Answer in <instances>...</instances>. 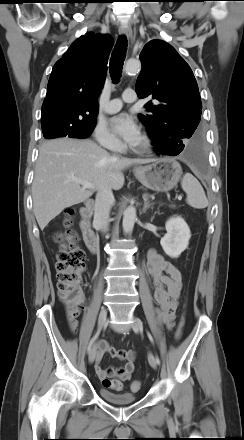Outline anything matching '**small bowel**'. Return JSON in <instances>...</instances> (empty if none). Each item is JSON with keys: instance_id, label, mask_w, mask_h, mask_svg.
Masks as SVG:
<instances>
[{"instance_id": "1", "label": "small bowel", "mask_w": 244, "mask_h": 440, "mask_svg": "<svg viewBox=\"0 0 244 440\" xmlns=\"http://www.w3.org/2000/svg\"><path fill=\"white\" fill-rule=\"evenodd\" d=\"M147 270L152 278V287L156 303L155 312L160 325L171 329L176 318L178 299L182 289V277L180 270L156 250L151 249L147 256ZM72 331H76L77 322L69 319ZM108 354L113 358L124 361L120 367L109 366L103 368L101 361ZM135 353L132 350L115 349L106 340L98 344V351L95 356V370L98 378L103 381L105 378L113 377L121 381L131 378L134 371Z\"/></svg>"}]
</instances>
